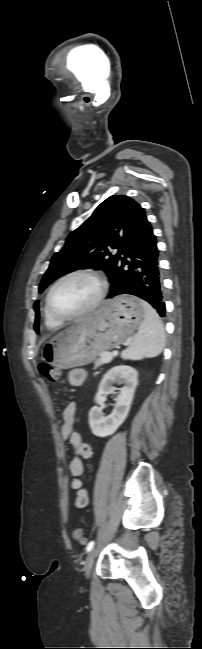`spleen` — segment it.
I'll use <instances>...</instances> for the list:
<instances>
[{
  "label": "spleen",
  "mask_w": 202,
  "mask_h": 649,
  "mask_svg": "<svg viewBox=\"0 0 202 649\" xmlns=\"http://www.w3.org/2000/svg\"><path fill=\"white\" fill-rule=\"evenodd\" d=\"M144 320L138 328V333L125 349L123 359L141 360L158 356L164 347L165 332L156 310L146 301H142Z\"/></svg>",
  "instance_id": "obj_1"
}]
</instances>
